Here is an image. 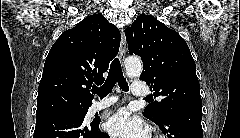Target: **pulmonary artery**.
Wrapping results in <instances>:
<instances>
[{
	"instance_id": "pulmonary-artery-1",
	"label": "pulmonary artery",
	"mask_w": 240,
	"mask_h": 138,
	"mask_svg": "<svg viewBox=\"0 0 240 138\" xmlns=\"http://www.w3.org/2000/svg\"><path fill=\"white\" fill-rule=\"evenodd\" d=\"M148 87L145 86L144 82H133L131 86V92L135 97H145L148 95ZM115 103L113 99H105L103 101L95 102L92 105L93 111H100Z\"/></svg>"
}]
</instances>
